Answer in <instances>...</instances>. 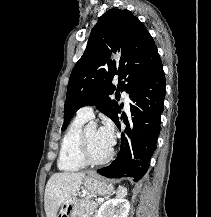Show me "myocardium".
I'll list each match as a JSON object with an SVG mask.
<instances>
[{
  "label": "myocardium",
  "mask_w": 211,
  "mask_h": 217,
  "mask_svg": "<svg viewBox=\"0 0 211 217\" xmlns=\"http://www.w3.org/2000/svg\"><path fill=\"white\" fill-rule=\"evenodd\" d=\"M87 129H83L81 132L80 138H79V146H78V152L80 159L86 164V165H103L108 163L114 156V149L111 148L109 153L104 156L103 158H94L91 156L89 147H88V140H87Z\"/></svg>",
  "instance_id": "obj_1"
}]
</instances>
